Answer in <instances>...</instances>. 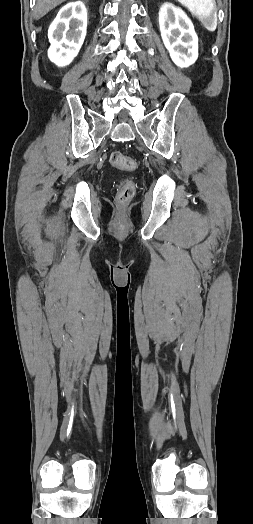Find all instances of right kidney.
I'll use <instances>...</instances> for the list:
<instances>
[{
	"label": "right kidney",
	"mask_w": 253,
	"mask_h": 524,
	"mask_svg": "<svg viewBox=\"0 0 253 524\" xmlns=\"http://www.w3.org/2000/svg\"><path fill=\"white\" fill-rule=\"evenodd\" d=\"M87 10L81 1L65 5L48 30L49 59L63 67L77 56L86 36Z\"/></svg>",
	"instance_id": "obj_1"
}]
</instances>
